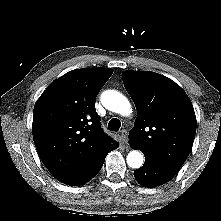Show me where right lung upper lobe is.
I'll return each instance as SVG.
<instances>
[{
  "label": "right lung upper lobe",
  "instance_id": "1",
  "mask_svg": "<svg viewBox=\"0 0 221 221\" xmlns=\"http://www.w3.org/2000/svg\"><path fill=\"white\" fill-rule=\"evenodd\" d=\"M112 73L107 68L68 72L53 81L35 104L32 131L37 152L63 183L118 144L103 132L95 110V97Z\"/></svg>",
  "mask_w": 221,
  "mask_h": 221
}]
</instances>
